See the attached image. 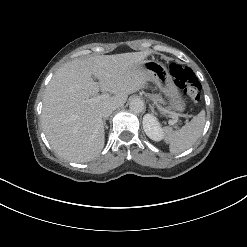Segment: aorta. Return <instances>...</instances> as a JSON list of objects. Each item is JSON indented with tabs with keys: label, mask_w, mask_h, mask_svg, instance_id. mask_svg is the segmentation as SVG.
Here are the masks:
<instances>
[{
	"label": "aorta",
	"mask_w": 247,
	"mask_h": 247,
	"mask_svg": "<svg viewBox=\"0 0 247 247\" xmlns=\"http://www.w3.org/2000/svg\"><path fill=\"white\" fill-rule=\"evenodd\" d=\"M129 108L134 113H141L144 110V102L140 98H133L129 103Z\"/></svg>",
	"instance_id": "762f6f07"
}]
</instances>
